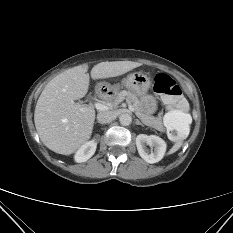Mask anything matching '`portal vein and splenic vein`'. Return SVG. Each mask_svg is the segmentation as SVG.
Listing matches in <instances>:
<instances>
[{
  "label": "portal vein and splenic vein",
  "instance_id": "18ae733b",
  "mask_svg": "<svg viewBox=\"0 0 233 233\" xmlns=\"http://www.w3.org/2000/svg\"><path fill=\"white\" fill-rule=\"evenodd\" d=\"M95 107H96V109H98L100 111H105V110L109 109V107L107 105H105L104 103H101V102H96ZM129 109L131 111H134V108L131 105H129Z\"/></svg>",
  "mask_w": 233,
  "mask_h": 233
}]
</instances>
